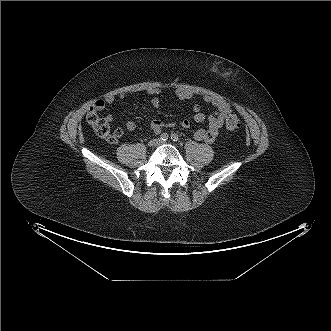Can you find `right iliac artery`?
<instances>
[{"mask_svg": "<svg viewBox=\"0 0 331 331\" xmlns=\"http://www.w3.org/2000/svg\"><path fill=\"white\" fill-rule=\"evenodd\" d=\"M168 134L167 133H162L161 135H160V139L162 140V141H166L167 139H168Z\"/></svg>", "mask_w": 331, "mask_h": 331, "instance_id": "82829eb1", "label": "right iliac artery"}]
</instances>
